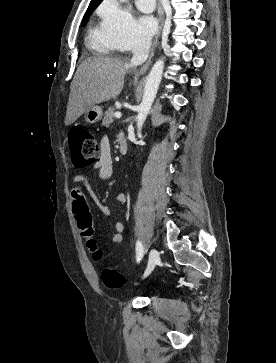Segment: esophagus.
<instances>
[{
	"mask_svg": "<svg viewBox=\"0 0 276 363\" xmlns=\"http://www.w3.org/2000/svg\"><path fill=\"white\" fill-rule=\"evenodd\" d=\"M159 20H160V31L154 41V44H153V47H152V50H151V55H150V58L149 60L141 67L140 69V73H144L146 72V70L148 69L149 65H150V59L153 55V51H154V48L156 47L157 45V42H158V38L161 34V30H162V26H163V22H164V9H163V6H162V3H161V0H159Z\"/></svg>",
	"mask_w": 276,
	"mask_h": 363,
	"instance_id": "obj_1",
	"label": "esophagus"
}]
</instances>
